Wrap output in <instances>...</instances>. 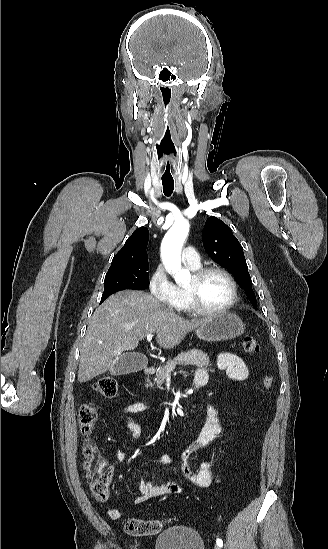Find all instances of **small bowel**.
I'll return each mask as SVG.
<instances>
[{
  "mask_svg": "<svg viewBox=\"0 0 328 549\" xmlns=\"http://www.w3.org/2000/svg\"><path fill=\"white\" fill-rule=\"evenodd\" d=\"M216 366L218 369L226 371L229 378L235 381H244L249 376V370L245 362L237 355L231 353H221L217 356ZM204 376L206 372L199 368L195 373V377ZM147 405L144 402L136 401L128 404L122 410V418L124 422L132 429L133 438L137 439L138 432L134 422L128 417L129 414H136L147 410ZM221 423L217 408L210 404L207 409V419L204 427L198 436L182 451V472L186 480L196 488H208L213 482L212 465L209 459L202 458L197 469H194L190 460L196 452H208L214 443V440L221 432ZM116 459L120 462L127 459V454L121 450L115 453ZM172 458L168 454H163L158 457V464L165 466L171 462ZM103 463L105 460L102 459ZM139 495L135 498V504H141L147 500L164 495H177L183 492V488L174 481H157L155 475L150 481H141L138 486ZM112 514L117 515V511H112Z\"/></svg>",
  "mask_w": 328,
  "mask_h": 549,
  "instance_id": "1",
  "label": "small bowel"
}]
</instances>
